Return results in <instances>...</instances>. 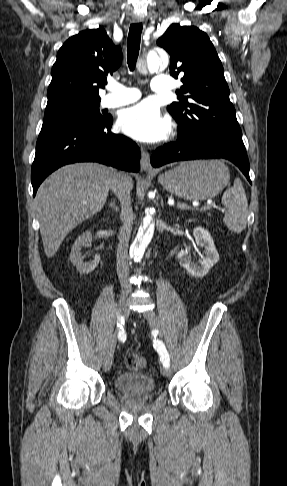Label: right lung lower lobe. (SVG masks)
Returning a JSON list of instances; mask_svg holds the SVG:
<instances>
[{
    "mask_svg": "<svg viewBox=\"0 0 287 486\" xmlns=\"http://www.w3.org/2000/svg\"><path fill=\"white\" fill-rule=\"evenodd\" d=\"M113 118L77 128L40 133L31 169L33 196L42 181L59 167L99 162L130 172L140 169V149L126 136L111 132Z\"/></svg>",
    "mask_w": 287,
    "mask_h": 486,
    "instance_id": "obj_1",
    "label": "right lung lower lobe"
}]
</instances>
